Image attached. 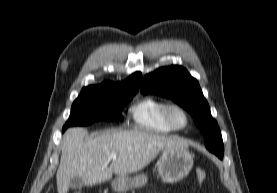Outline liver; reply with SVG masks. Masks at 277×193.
Listing matches in <instances>:
<instances>
[{
    "label": "liver",
    "instance_id": "1",
    "mask_svg": "<svg viewBox=\"0 0 277 193\" xmlns=\"http://www.w3.org/2000/svg\"><path fill=\"white\" fill-rule=\"evenodd\" d=\"M187 147L183 139L140 130H107L91 138L84 128H70L63 136L57 191L67 193L75 177L92 186L111 179L113 174L137 172L164 149ZM111 153H116L117 158L108 166Z\"/></svg>",
    "mask_w": 277,
    "mask_h": 193
}]
</instances>
